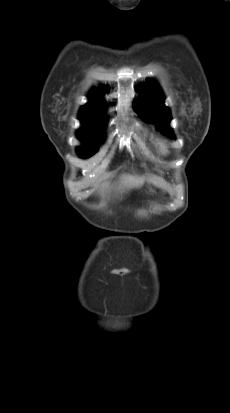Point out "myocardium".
<instances>
[{
  "label": "myocardium",
  "mask_w": 230,
  "mask_h": 413,
  "mask_svg": "<svg viewBox=\"0 0 230 413\" xmlns=\"http://www.w3.org/2000/svg\"><path fill=\"white\" fill-rule=\"evenodd\" d=\"M160 152H161L162 154H167V153L169 152V149H168V147H167L166 144L162 143V144L160 145Z\"/></svg>",
  "instance_id": "1"
}]
</instances>
